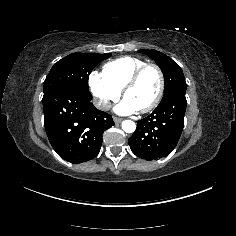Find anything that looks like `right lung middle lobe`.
<instances>
[{
    "label": "right lung middle lobe",
    "mask_w": 236,
    "mask_h": 236,
    "mask_svg": "<svg viewBox=\"0 0 236 236\" xmlns=\"http://www.w3.org/2000/svg\"><path fill=\"white\" fill-rule=\"evenodd\" d=\"M111 54L73 53L53 65L44 81V95L57 88H68L91 97L88 78L93 68Z\"/></svg>",
    "instance_id": "1"
}]
</instances>
